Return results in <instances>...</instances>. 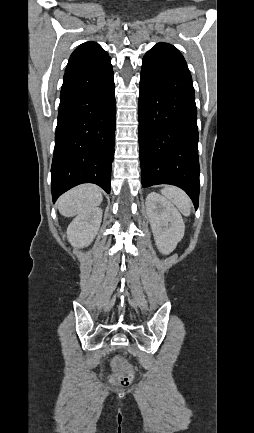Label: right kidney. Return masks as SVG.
<instances>
[{"label":"right kidney","mask_w":254,"mask_h":433,"mask_svg":"<svg viewBox=\"0 0 254 433\" xmlns=\"http://www.w3.org/2000/svg\"><path fill=\"white\" fill-rule=\"evenodd\" d=\"M102 209L93 208L78 215L68 226L67 238L73 247L82 248L91 244L102 221Z\"/></svg>","instance_id":"1"}]
</instances>
